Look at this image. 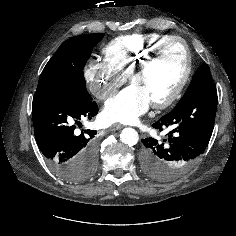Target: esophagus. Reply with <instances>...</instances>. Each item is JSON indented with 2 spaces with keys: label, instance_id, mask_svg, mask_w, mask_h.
<instances>
[{
  "label": "esophagus",
  "instance_id": "34e87169",
  "mask_svg": "<svg viewBox=\"0 0 236 236\" xmlns=\"http://www.w3.org/2000/svg\"><path fill=\"white\" fill-rule=\"evenodd\" d=\"M123 126L121 124H113L110 126L109 130L110 131H116V130H120Z\"/></svg>",
  "mask_w": 236,
  "mask_h": 236
}]
</instances>
